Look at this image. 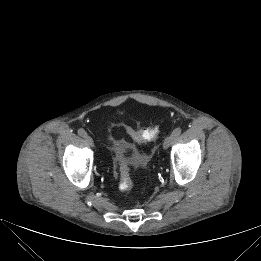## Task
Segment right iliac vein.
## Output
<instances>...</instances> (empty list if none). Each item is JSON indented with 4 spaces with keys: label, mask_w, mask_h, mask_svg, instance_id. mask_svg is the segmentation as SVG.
Returning <instances> with one entry per match:
<instances>
[{
    "label": "right iliac vein",
    "mask_w": 261,
    "mask_h": 261,
    "mask_svg": "<svg viewBox=\"0 0 261 261\" xmlns=\"http://www.w3.org/2000/svg\"><path fill=\"white\" fill-rule=\"evenodd\" d=\"M84 138H85L86 144L89 147H93L94 146V141H93V139L90 136L86 135Z\"/></svg>",
    "instance_id": "1"
}]
</instances>
